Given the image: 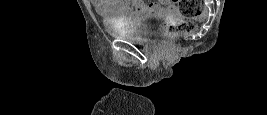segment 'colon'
<instances>
[{"mask_svg": "<svg viewBox=\"0 0 267 115\" xmlns=\"http://www.w3.org/2000/svg\"><path fill=\"white\" fill-rule=\"evenodd\" d=\"M179 3L180 13L185 17H196L202 11V3L200 0H172ZM195 24L191 20H184L177 24L166 27L162 34V39L166 42L172 41L180 36L193 33Z\"/></svg>", "mask_w": 267, "mask_h": 115, "instance_id": "5ec220e1", "label": "colon"}]
</instances>
